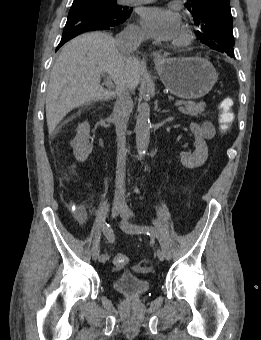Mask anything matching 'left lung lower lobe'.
Instances as JSON below:
<instances>
[{
    "mask_svg": "<svg viewBox=\"0 0 261 340\" xmlns=\"http://www.w3.org/2000/svg\"><path fill=\"white\" fill-rule=\"evenodd\" d=\"M223 53V52H222ZM225 53V52H224ZM227 54L229 55V56H231V57H234V53H232V52H227Z\"/></svg>",
    "mask_w": 261,
    "mask_h": 340,
    "instance_id": "0a47b994",
    "label": "left lung lower lobe"
}]
</instances>
